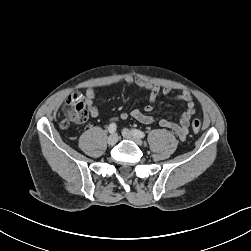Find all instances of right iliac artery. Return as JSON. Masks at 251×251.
<instances>
[{"label": "right iliac artery", "instance_id": "right-iliac-artery-1", "mask_svg": "<svg viewBox=\"0 0 251 251\" xmlns=\"http://www.w3.org/2000/svg\"><path fill=\"white\" fill-rule=\"evenodd\" d=\"M116 128H117L116 124L115 123H111L109 125V127H108V130H109L110 133H114L116 131Z\"/></svg>", "mask_w": 251, "mask_h": 251}]
</instances>
